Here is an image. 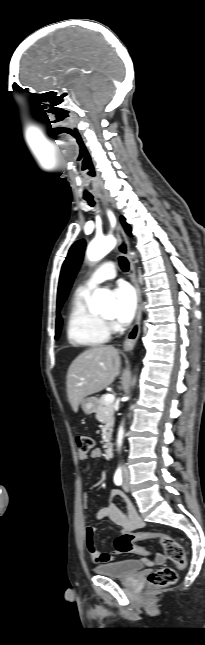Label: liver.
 <instances>
[{
	"mask_svg": "<svg viewBox=\"0 0 205 645\" xmlns=\"http://www.w3.org/2000/svg\"><path fill=\"white\" fill-rule=\"evenodd\" d=\"M120 366L119 350L113 346H94L77 356L68 369L66 382L73 411L78 412L79 404L87 396L112 384L120 374Z\"/></svg>",
	"mask_w": 205,
	"mask_h": 645,
	"instance_id": "liver-1",
	"label": "liver"
}]
</instances>
